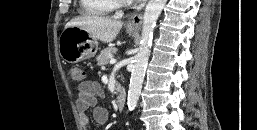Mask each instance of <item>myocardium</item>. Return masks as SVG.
<instances>
[{"label":"myocardium","instance_id":"myocardium-1","mask_svg":"<svg viewBox=\"0 0 257 130\" xmlns=\"http://www.w3.org/2000/svg\"><path fill=\"white\" fill-rule=\"evenodd\" d=\"M116 8L127 7L131 4V0H111Z\"/></svg>","mask_w":257,"mask_h":130}]
</instances>
